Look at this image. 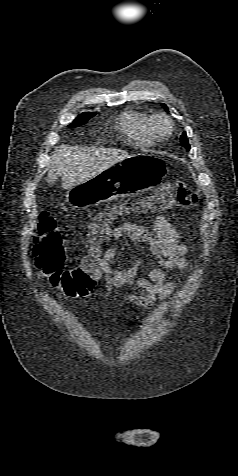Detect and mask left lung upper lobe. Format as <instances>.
Returning <instances> with one entry per match:
<instances>
[{
  "instance_id": "5c2ea615",
  "label": "left lung upper lobe",
  "mask_w": 238,
  "mask_h": 476,
  "mask_svg": "<svg viewBox=\"0 0 238 476\" xmlns=\"http://www.w3.org/2000/svg\"><path fill=\"white\" fill-rule=\"evenodd\" d=\"M166 110H168L167 106L165 104H162ZM180 143L181 145L186 148L187 150H190V145L188 143V139H187V136H186V133L184 132L180 138Z\"/></svg>"
}]
</instances>
